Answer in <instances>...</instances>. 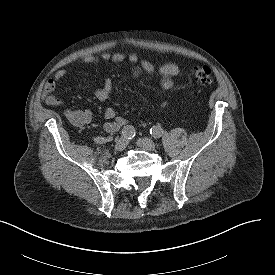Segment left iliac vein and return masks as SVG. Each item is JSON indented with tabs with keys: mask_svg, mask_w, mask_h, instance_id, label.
I'll return each instance as SVG.
<instances>
[{
	"mask_svg": "<svg viewBox=\"0 0 275 275\" xmlns=\"http://www.w3.org/2000/svg\"><path fill=\"white\" fill-rule=\"evenodd\" d=\"M137 145L144 150H155V143L149 138H140L137 140Z\"/></svg>",
	"mask_w": 275,
	"mask_h": 275,
	"instance_id": "left-iliac-vein-1",
	"label": "left iliac vein"
}]
</instances>
